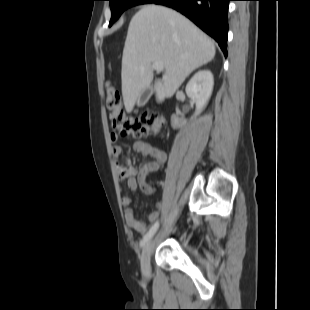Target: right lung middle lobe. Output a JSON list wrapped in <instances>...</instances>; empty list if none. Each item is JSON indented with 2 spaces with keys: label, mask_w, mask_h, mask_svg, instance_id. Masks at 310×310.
Returning <instances> with one entry per match:
<instances>
[{
  "label": "right lung middle lobe",
  "mask_w": 310,
  "mask_h": 310,
  "mask_svg": "<svg viewBox=\"0 0 310 310\" xmlns=\"http://www.w3.org/2000/svg\"><path fill=\"white\" fill-rule=\"evenodd\" d=\"M110 1V7L112 12V17L109 23V26H111L123 13L124 10H126L129 7L150 3L153 0H109Z\"/></svg>",
  "instance_id": "dd1d6c3e"
}]
</instances>
